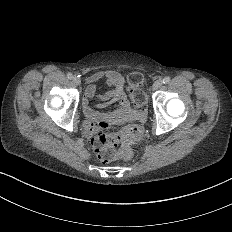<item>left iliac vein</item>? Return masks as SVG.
<instances>
[{
    "label": "left iliac vein",
    "instance_id": "4c4485c4",
    "mask_svg": "<svg viewBox=\"0 0 232 232\" xmlns=\"http://www.w3.org/2000/svg\"><path fill=\"white\" fill-rule=\"evenodd\" d=\"M163 84V79L162 78H157L154 83V88L155 89H160Z\"/></svg>",
    "mask_w": 232,
    "mask_h": 232
}]
</instances>
